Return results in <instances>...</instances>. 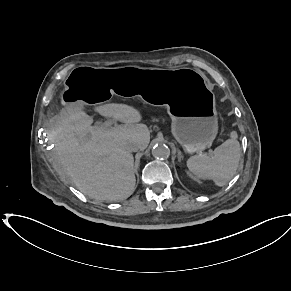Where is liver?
<instances>
[{"label":"liver","mask_w":291,"mask_h":291,"mask_svg":"<svg viewBox=\"0 0 291 291\" xmlns=\"http://www.w3.org/2000/svg\"><path fill=\"white\" fill-rule=\"evenodd\" d=\"M94 110L124 124L95 127L93 118L78 106L63 108L48 132L49 141L55 146L56 163L76 188L90 198L124 200L132 194L136 182L134 158L127 147L135 143L139 150H145L150 132L139 123L142 116L132 106L111 103Z\"/></svg>","instance_id":"1"}]
</instances>
